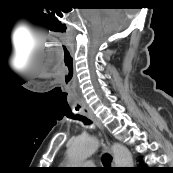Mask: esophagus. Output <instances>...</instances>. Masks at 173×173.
Instances as JSON below:
<instances>
[{"mask_svg":"<svg viewBox=\"0 0 173 173\" xmlns=\"http://www.w3.org/2000/svg\"><path fill=\"white\" fill-rule=\"evenodd\" d=\"M82 113L84 115H86L88 118H90L97 125V127L103 132V127H102L100 121L95 117V115L87 107L83 108ZM106 143L111 152V144L107 138H106Z\"/></svg>","mask_w":173,"mask_h":173,"instance_id":"1","label":"esophagus"}]
</instances>
